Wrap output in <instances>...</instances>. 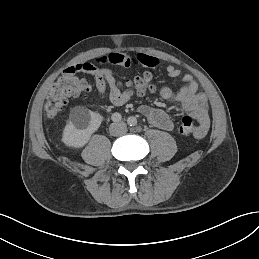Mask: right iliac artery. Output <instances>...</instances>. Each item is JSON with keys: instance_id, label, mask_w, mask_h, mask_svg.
<instances>
[{"instance_id": "82829eb1", "label": "right iliac artery", "mask_w": 259, "mask_h": 259, "mask_svg": "<svg viewBox=\"0 0 259 259\" xmlns=\"http://www.w3.org/2000/svg\"><path fill=\"white\" fill-rule=\"evenodd\" d=\"M111 119H112V121H114V122H119V121H121L122 116H121L120 113H114V114L111 116Z\"/></svg>"}]
</instances>
